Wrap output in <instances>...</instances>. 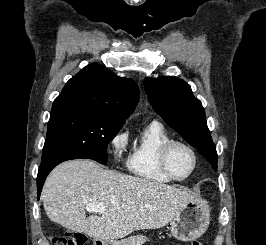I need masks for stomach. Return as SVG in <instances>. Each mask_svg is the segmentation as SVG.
I'll use <instances>...</instances> for the list:
<instances>
[{"label": "stomach", "mask_w": 266, "mask_h": 245, "mask_svg": "<svg viewBox=\"0 0 266 245\" xmlns=\"http://www.w3.org/2000/svg\"><path fill=\"white\" fill-rule=\"evenodd\" d=\"M209 221L210 207L207 201L193 199L170 221L171 233L178 241H193L207 231ZM112 245H117L116 241Z\"/></svg>", "instance_id": "1"}]
</instances>
